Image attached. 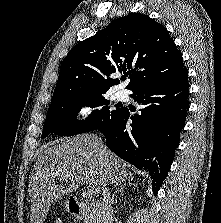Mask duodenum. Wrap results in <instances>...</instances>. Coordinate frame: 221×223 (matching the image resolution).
Masks as SVG:
<instances>
[{
    "label": "duodenum",
    "mask_w": 221,
    "mask_h": 223,
    "mask_svg": "<svg viewBox=\"0 0 221 223\" xmlns=\"http://www.w3.org/2000/svg\"><path fill=\"white\" fill-rule=\"evenodd\" d=\"M68 208L71 214L77 219H82L89 214H93L96 217L95 223L103 222V208L96 203L85 202L79 198L71 197L68 200Z\"/></svg>",
    "instance_id": "1"
}]
</instances>
